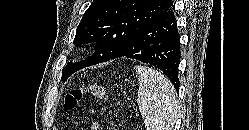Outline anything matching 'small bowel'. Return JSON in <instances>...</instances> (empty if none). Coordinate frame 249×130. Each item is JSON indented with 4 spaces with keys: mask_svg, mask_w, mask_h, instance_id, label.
Here are the masks:
<instances>
[{
    "mask_svg": "<svg viewBox=\"0 0 249 130\" xmlns=\"http://www.w3.org/2000/svg\"><path fill=\"white\" fill-rule=\"evenodd\" d=\"M91 130H101V129H100L99 124L95 123V124L92 126Z\"/></svg>",
    "mask_w": 249,
    "mask_h": 130,
    "instance_id": "1",
    "label": "small bowel"
}]
</instances>
